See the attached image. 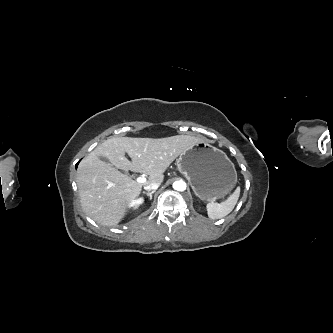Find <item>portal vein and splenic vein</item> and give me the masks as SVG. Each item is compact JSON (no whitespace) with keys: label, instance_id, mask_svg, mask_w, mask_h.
<instances>
[{"label":"portal vein and splenic vein","instance_id":"1","mask_svg":"<svg viewBox=\"0 0 333 333\" xmlns=\"http://www.w3.org/2000/svg\"><path fill=\"white\" fill-rule=\"evenodd\" d=\"M136 181H137L138 183H145V182H146V178H145L144 176H139V177L136 179Z\"/></svg>","mask_w":333,"mask_h":333}]
</instances>
